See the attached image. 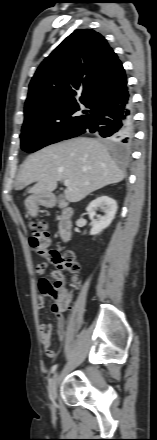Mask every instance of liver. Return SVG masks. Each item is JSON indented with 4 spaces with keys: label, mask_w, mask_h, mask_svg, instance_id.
<instances>
[{
    "label": "liver",
    "mask_w": 157,
    "mask_h": 440,
    "mask_svg": "<svg viewBox=\"0 0 157 440\" xmlns=\"http://www.w3.org/2000/svg\"><path fill=\"white\" fill-rule=\"evenodd\" d=\"M124 178V172L100 141L78 137L49 145L28 156L20 169L17 189L36 182L28 192L33 196L49 195L58 181L69 180L72 186L64 191L65 198L75 203Z\"/></svg>",
    "instance_id": "obj_1"
}]
</instances>
